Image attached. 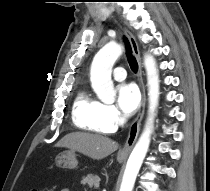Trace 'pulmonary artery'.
<instances>
[{
    "label": "pulmonary artery",
    "instance_id": "e3ab8cb5",
    "mask_svg": "<svg viewBox=\"0 0 210 191\" xmlns=\"http://www.w3.org/2000/svg\"><path fill=\"white\" fill-rule=\"evenodd\" d=\"M112 75L117 81H123L127 76L125 69L120 66L114 68Z\"/></svg>",
    "mask_w": 210,
    "mask_h": 191
}]
</instances>
